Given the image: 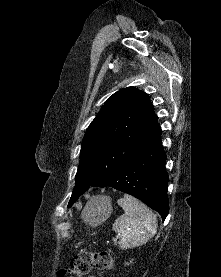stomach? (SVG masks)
<instances>
[{"instance_id":"obj_1","label":"stomach","mask_w":221,"mask_h":277,"mask_svg":"<svg viewBox=\"0 0 221 277\" xmlns=\"http://www.w3.org/2000/svg\"><path fill=\"white\" fill-rule=\"evenodd\" d=\"M110 212V200L107 198H96L87 205L82 216L91 226H98L109 216Z\"/></svg>"}]
</instances>
